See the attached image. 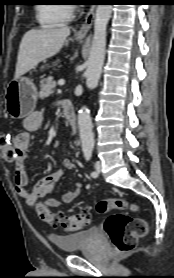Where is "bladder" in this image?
I'll use <instances>...</instances> for the list:
<instances>
[{
  "label": "bladder",
  "instance_id": "1",
  "mask_svg": "<svg viewBox=\"0 0 174 278\" xmlns=\"http://www.w3.org/2000/svg\"><path fill=\"white\" fill-rule=\"evenodd\" d=\"M99 237L97 228H88L68 235L51 236L53 244L64 252H75L94 243Z\"/></svg>",
  "mask_w": 174,
  "mask_h": 278
}]
</instances>
